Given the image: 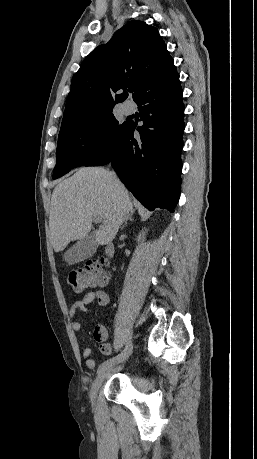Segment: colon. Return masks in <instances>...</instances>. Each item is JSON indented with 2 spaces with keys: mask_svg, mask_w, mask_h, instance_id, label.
Returning a JSON list of instances; mask_svg holds the SVG:
<instances>
[{
  "mask_svg": "<svg viewBox=\"0 0 257 459\" xmlns=\"http://www.w3.org/2000/svg\"><path fill=\"white\" fill-rule=\"evenodd\" d=\"M108 274L104 269L103 263L93 260L89 261L84 267L72 269L67 275V282L77 292L103 285L108 281Z\"/></svg>",
  "mask_w": 257,
  "mask_h": 459,
  "instance_id": "colon-1",
  "label": "colon"
}]
</instances>
